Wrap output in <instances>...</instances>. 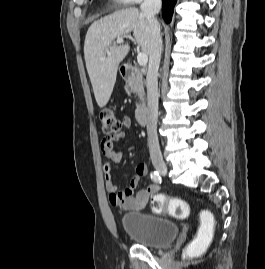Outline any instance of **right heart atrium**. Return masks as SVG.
<instances>
[{"mask_svg": "<svg viewBox=\"0 0 265 269\" xmlns=\"http://www.w3.org/2000/svg\"><path fill=\"white\" fill-rule=\"evenodd\" d=\"M116 1L124 5H134L141 3L143 0H116Z\"/></svg>", "mask_w": 265, "mask_h": 269, "instance_id": "right-heart-atrium-1", "label": "right heart atrium"}]
</instances>
